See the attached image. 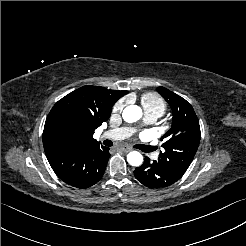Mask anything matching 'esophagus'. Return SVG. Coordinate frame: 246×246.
<instances>
[{
  "label": "esophagus",
  "mask_w": 246,
  "mask_h": 246,
  "mask_svg": "<svg viewBox=\"0 0 246 246\" xmlns=\"http://www.w3.org/2000/svg\"><path fill=\"white\" fill-rule=\"evenodd\" d=\"M118 152H123V153H128L129 151H131L130 148H124V147H119L117 148Z\"/></svg>",
  "instance_id": "1"
}]
</instances>
